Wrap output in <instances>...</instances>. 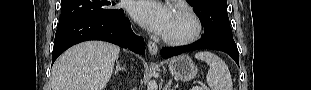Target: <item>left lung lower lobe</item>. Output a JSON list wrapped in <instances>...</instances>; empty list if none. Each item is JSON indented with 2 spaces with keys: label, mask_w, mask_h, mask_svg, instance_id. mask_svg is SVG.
I'll list each match as a JSON object with an SVG mask.
<instances>
[{
  "label": "left lung lower lobe",
  "mask_w": 311,
  "mask_h": 90,
  "mask_svg": "<svg viewBox=\"0 0 311 90\" xmlns=\"http://www.w3.org/2000/svg\"><path fill=\"white\" fill-rule=\"evenodd\" d=\"M198 49L223 51L230 55L239 65V52L234 40L223 37H203L200 41L191 45L181 47H165L160 51V54L162 58H169L184 52Z\"/></svg>",
  "instance_id": "left-lung-lower-lobe-1"
}]
</instances>
